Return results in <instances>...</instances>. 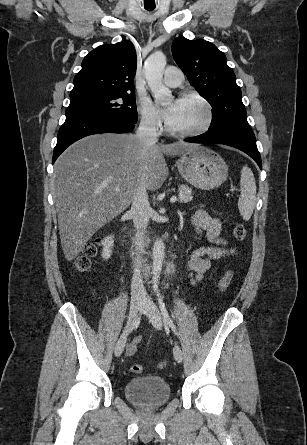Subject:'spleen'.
Returning a JSON list of instances; mask_svg holds the SVG:
<instances>
[{
    "mask_svg": "<svg viewBox=\"0 0 307 445\" xmlns=\"http://www.w3.org/2000/svg\"><path fill=\"white\" fill-rule=\"evenodd\" d=\"M240 184L241 194L238 200V208L244 220H249L256 204V182L249 166H242Z\"/></svg>",
    "mask_w": 307,
    "mask_h": 445,
    "instance_id": "3e777b00",
    "label": "spleen"
}]
</instances>
